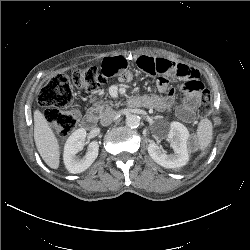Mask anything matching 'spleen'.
<instances>
[{"mask_svg":"<svg viewBox=\"0 0 250 250\" xmlns=\"http://www.w3.org/2000/svg\"><path fill=\"white\" fill-rule=\"evenodd\" d=\"M213 134L212 123L209 119L204 118L200 121L197 128V146L200 150H205L211 143Z\"/></svg>","mask_w":250,"mask_h":250,"instance_id":"spleen-1","label":"spleen"}]
</instances>
